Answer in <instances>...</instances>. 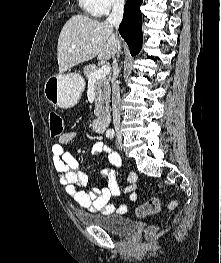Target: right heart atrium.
Wrapping results in <instances>:
<instances>
[{"mask_svg":"<svg viewBox=\"0 0 221 263\" xmlns=\"http://www.w3.org/2000/svg\"><path fill=\"white\" fill-rule=\"evenodd\" d=\"M124 5V0H95L96 10L99 16L109 14Z\"/></svg>","mask_w":221,"mask_h":263,"instance_id":"d8ad5b80","label":"right heart atrium"}]
</instances>
